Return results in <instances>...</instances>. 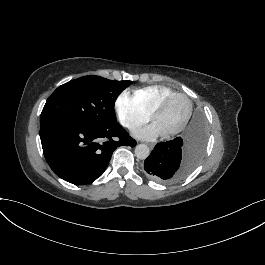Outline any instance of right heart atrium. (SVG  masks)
Instances as JSON below:
<instances>
[{
	"label": "right heart atrium",
	"instance_id": "obj_1",
	"mask_svg": "<svg viewBox=\"0 0 265 265\" xmlns=\"http://www.w3.org/2000/svg\"><path fill=\"white\" fill-rule=\"evenodd\" d=\"M125 125L136 130L151 119V112L135 97L122 94L117 103Z\"/></svg>",
	"mask_w": 265,
	"mask_h": 265
}]
</instances>
